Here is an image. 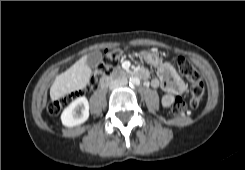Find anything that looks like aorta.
Listing matches in <instances>:
<instances>
[{
  "mask_svg": "<svg viewBox=\"0 0 245 170\" xmlns=\"http://www.w3.org/2000/svg\"><path fill=\"white\" fill-rule=\"evenodd\" d=\"M130 86H138L140 84V79L137 76H133L129 80Z\"/></svg>",
  "mask_w": 245,
  "mask_h": 170,
  "instance_id": "1",
  "label": "aorta"
}]
</instances>
